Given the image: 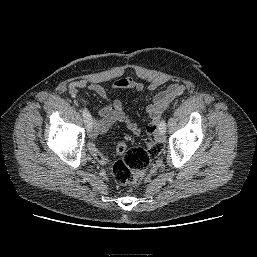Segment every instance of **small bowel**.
<instances>
[{
  "label": "small bowel",
  "mask_w": 257,
  "mask_h": 257,
  "mask_svg": "<svg viewBox=\"0 0 257 257\" xmlns=\"http://www.w3.org/2000/svg\"><path fill=\"white\" fill-rule=\"evenodd\" d=\"M162 79H154L148 85L147 89L154 91L163 84ZM113 89L116 90H135L142 91L145 86L142 82L133 79L130 76L117 79L113 85ZM85 90H90L101 98H103L107 105L99 111V117L93 119V123L96 130V135L106 133L109 128L115 123L124 124L129 131L134 135H140L141 129L136 122H134L130 116L125 112L123 104L119 99H111L106 89L99 83H89L85 80H78L70 83V94L78 98L85 105H89V101L84 95ZM184 91V85L180 83H173L169 85L164 91L157 93L151 104L146 108V113L156 123L165 108Z\"/></svg>",
  "instance_id": "small-bowel-1"
}]
</instances>
